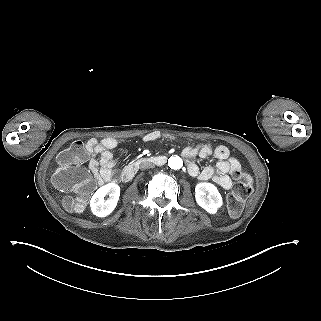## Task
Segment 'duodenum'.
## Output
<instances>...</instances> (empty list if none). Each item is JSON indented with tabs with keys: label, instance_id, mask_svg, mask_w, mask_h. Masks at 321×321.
Instances as JSON below:
<instances>
[{
	"label": "duodenum",
	"instance_id": "410a0bca",
	"mask_svg": "<svg viewBox=\"0 0 321 321\" xmlns=\"http://www.w3.org/2000/svg\"><path fill=\"white\" fill-rule=\"evenodd\" d=\"M165 162H166V157L162 155L147 156V157L139 158L123 169L121 173V179L125 182L130 181L134 177V175L136 174V172L138 171L142 163L163 165Z\"/></svg>",
	"mask_w": 321,
	"mask_h": 321
}]
</instances>
